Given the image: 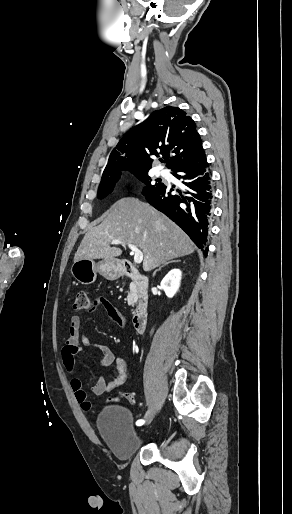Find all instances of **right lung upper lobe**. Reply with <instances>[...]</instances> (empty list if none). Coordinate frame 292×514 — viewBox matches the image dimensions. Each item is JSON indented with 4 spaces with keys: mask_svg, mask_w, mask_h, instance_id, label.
Returning <instances> with one entry per match:
<instances>
[{
    "mask_svg": "<svg viewBox=\"0 0 292 514\" xmlns=\"http://www.w3.org/2000/svg\"><path fill=\"white\" fill-rule=\"evenodd\" d=\"M203 154L195 122L182 109L167 106L152 112L122 137L109 156L102 180L120 177L123 170L134 175L146 173L152 167V156L162 155L173 171Z\"/></svg>",
    "mask_w": 292,
    "mask_h": 514,
    "instance_id": "right-lung-upper-lobe-1",
    "label": "right lung upper lobe"
}]
</instances>
